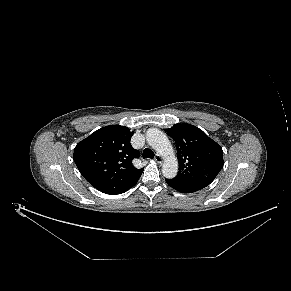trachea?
I'll list each match as a JSON object with an SVG mask.
<instances>
[{
	"label": "trachea",
	"instance_id": "trachea-1",
	"mask_svg": "<svg viewBox=\"0 0 291 291\" xmlns=\"http://www.w3.org/2000/svg\"><path fill=\"white\" fill-rule=\"evenodd\" d=\"M142 157L144 159H146V158L152 159V158H154V152L149 148H145L143 151Z\"/></svg>",
	"mask_w": 291,
	"mask_h": 291
}]
</instances>
